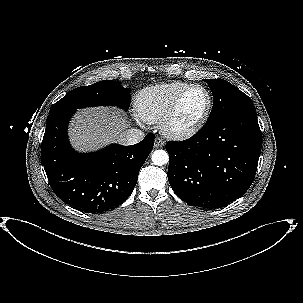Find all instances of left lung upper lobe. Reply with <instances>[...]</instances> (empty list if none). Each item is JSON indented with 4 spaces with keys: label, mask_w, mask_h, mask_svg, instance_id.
Instances as JSON below:
<instances>
[{
    "label": "left lung upper lobe",
    "mask_w": 303,
    "mask_h": 303,
    "mask_svg": "<svg viewBox=\"0 0 303 303\" xmlns=\"http://www.w3.org/2000/svg\"><path fill=\"white\" fill-rule=\"evenodd\" d=\"M213 95V107L207 122L247 112H256L252 100L223 79H206Z\"/></svg>",
    "instance_id": "obj_1"
}]
</instances>
